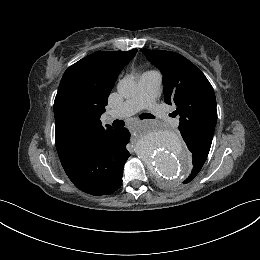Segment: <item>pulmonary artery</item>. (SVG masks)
I'll return each instance as SVG.
<instances>
[{
    "label": "pulmonary artery",
    "mask_w": 260,
    "mask_h": 260,
    "mask_svg": "<svg viewBox=\"0 0 260 260\" xmlns=\"http://www.w3.org/2000/svg\"><path fill=\"white\" fill-rule=\"evenodd\" d=\"M162 77L157 71H148L140 77V88L135 97L125 101L118 109L110 113L112 118H127L145 108L153 114L164 117V111L155 103L161 88ZM179 119L175 120L178 124Z\"/></svg>",
    "instance_id": "e3ab8cb5"
}]
</instances>
